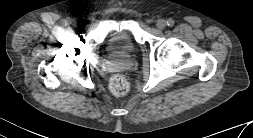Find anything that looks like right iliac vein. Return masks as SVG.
<instances>
[{
	"label": "right iliac vein",
	"mask_w": 253,
	"mask_h": 138,
	"mask_svg": "<svg viewBox=\"0 0 253 138\" xmlns=\"http://www.w3.org/2000/svg\"><path fill=\"white\" fill-rule=\"evenodd\" d=\"M77 25H78V22H77L76 20H73V21L70 23V27H71V28H75Z\"/></svg>",
	"instance_id": "1"
}]
</instances>
